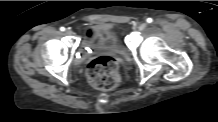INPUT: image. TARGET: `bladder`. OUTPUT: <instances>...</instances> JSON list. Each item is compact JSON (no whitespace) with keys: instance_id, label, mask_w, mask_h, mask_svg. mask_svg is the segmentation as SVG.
<instances>
[{"instance_id":"bladder-1","label":"bladder","mask_w":218,"mask_h":122,"mask_svg":"<svg viewBox=\"0 0 218 122\" xmlns=\"http://www.w3.org/2000/svg\"><path fill=\"white\" fill-rule=\"evenodd\" d=\"M84 45L93 50L116 52L122 55L126 54V48L121 43L118 35L108 25L104 24L93 27L86 34Z\"/></svg>"}]
</instances>
